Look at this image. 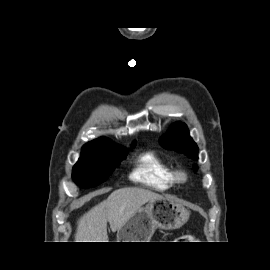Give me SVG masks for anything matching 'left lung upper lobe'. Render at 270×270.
<instances>
[{"label":"left lung upper lobe","instance_id":"5c2ea615","mask_svg":"<svg viewBox=\"0 0 270 270\" xmlns=\"http://www.w3.org/2000/svg\"><path fill=\"white\" fill-rule=\"evenodd\" d=\"M160 143L166 149L198 159V147L190 137L186 125L181 122L171 125L169 132L161 138Z\"/></svg>","mask_w":270,"mask_h":270}]
</instances>
